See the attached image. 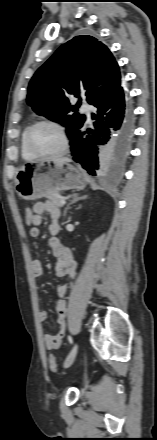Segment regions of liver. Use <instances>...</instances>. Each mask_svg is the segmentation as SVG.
<instances>
[{
  "label": "liver",
  "mask_w": 157,
  "mask_h": 440,
  "mask_svg": "<svg viewBox=\"0 0 157 440\" xmlns=\"http://www.w3.org/2000/svg\"><path fill=\"white\" fill-rule=\"evenodd\" d=\"M53 161H59V162H71V159L67 158V157H63V158H55L53 159Z\"/></svg>",
  "instance_id": "obj_1"
}]
</instances>
